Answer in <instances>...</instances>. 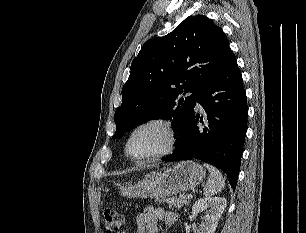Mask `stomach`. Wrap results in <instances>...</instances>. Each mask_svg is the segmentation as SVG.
I'll return each instance as SVG.
<instances>
[{"instance_id":"0dacf381","label":"stomach","mask_w":306,"mask_h":233,"mask_svg":"<svg viewBox=\"0 0 306 233\" xmlns=\"http://www.w3.org/2000/svg\"><path fill=\"white\" fill-rule=\"evenodd\" d=\"M205 169L194 161H181L145 176L141 181L120 186V194L128 197L166 198L190 190L205 178Z\"/></svg>"}]
</instances>
